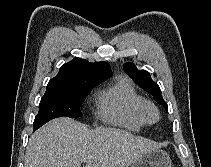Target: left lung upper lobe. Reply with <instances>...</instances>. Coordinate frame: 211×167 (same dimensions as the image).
<instances>
[{"instance_id": "5c2ea615", "label": "left lung upper lobe", "mask_w": 211, "mask_h": 167, "mask_svg": "<svg viewBox=\"0 0 211 167\" xmlns=\"http://www.w3.org/2000/svg\"><path fill=\"white\" fill-rule=\"evenodd\" d=\"M124 70L136 84L149 92L154 99L168 111V105L162 98L161 90L159 86L152 81L149 72L145 70L138 71L136 66L132 63H125Z\"/></svg>"}]
</instances>
